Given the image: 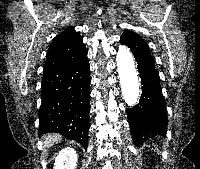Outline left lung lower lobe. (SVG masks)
<instances>
[{
    "label": "left lung lower lobe",
    "mask_w": 200,
    "mask_h": 169,
    "mask_svg": "<svg viewBox=\"0 0 200 169\" xmlns=\"http://www.w3.org/2000/svg\"><path fill=\"white\" fill-rule=\"evenodd\" d=\"M120 41L129 47L126 41L121 38ZM134 57L141 77L142 94L139 103L127 110V116L134 144L141 145L153 136L166 134L168 120L153 57L147 53H134Z\"/></svg>",
    "instance_id": "0a47b994"
}]
</instances>
